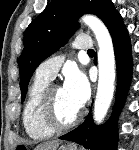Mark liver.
<instances>
[{
    "mask_svg": "<svg viewBox=\"0 0 139 150\" xmlns=\"http://www.w3.org/2000/svg\"><path fill=\"white\" fill-rule=\"evenodd\" d=\"M59 146V141L44 142L36 146L35 150H56Z\"/></svg>",
    "mask_w": 139,
    "mask_h": 150,
    "instance_id": "liver-1",
    "label": "liver"
}]
</instances>
